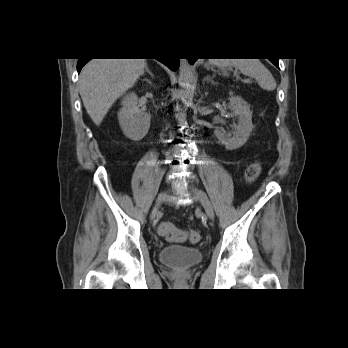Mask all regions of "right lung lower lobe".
<instances>
[{
	"instance_id": "98d812e1",
	"label": "right lung lower lobe",
	"mask_w": 348,
	"mask_h": 348,
	"mask_svg": "<svg viewBox=\"0 0 348 348\" xmlns=\"http://www.w3.org/2000/svg\"><path fill=\"white\" fill-rule=\"evenodd\" d=\"M159 61H161L162 63H164L165 65H167L171 70L175 71L178 69L179 66V62L178 59L176 58H166V59H158ZM89 61V59H79L78 63H77V70L78 73H80L82 67Z\"/></svg>"
}]
</instances>
